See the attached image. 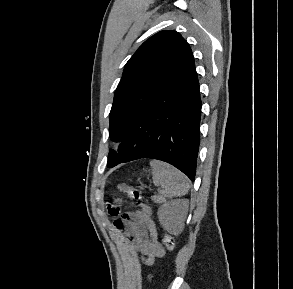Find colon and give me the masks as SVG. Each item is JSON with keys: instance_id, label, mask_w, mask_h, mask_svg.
<instances>
[{"instance_id": "1", "label": "colon", "mask_w": 293, "mask_h": 289, "mask_svg": "<svg viewBox=\"0 0 293 289\" xmlns=\"http://www.w3.org/2000/svg\"><path fill=\"white\" fill-rule=\"evenodd\" d=\"M118 189L122 192L127 194L130 198L141 201L143 198L142 192L130 185H127L125 183H121L118 185ZM107 211L111 216L117 217L120 214V209L117 205L114 204H108L107 205ZM164 244L168 251H173L175 248V239L172 235L166 233L164 235Z\"/></svg>"}]
</instances>
